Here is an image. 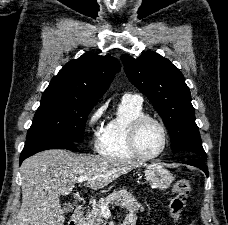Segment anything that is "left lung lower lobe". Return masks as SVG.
Segmentation results:
<instances>
[{"mask_svg": "<svg viewBox=\"0 0 228 225\" xmlns=\"http://www.w3.org/2000/svg\"><path fill=\"white\" fill-rule=\"evenodd\" d=\"M183 163L200 168L208 176V168L204 162V159L194 158Z\"/></svg>", "mask_w": 228, "mask_h": 225, "instance_id": "1", "label": "left lung lower lobe"}]
</instances>
